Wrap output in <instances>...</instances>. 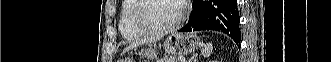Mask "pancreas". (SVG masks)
Instances as JSON below:
<instances>
[{"label":"pancreas","mask_w":331,"mask_h":62,"mask_svg":"<svg viewBox=\"0 0 331 62\" xmlns=\"http://www.w3.org/2000/svg\"><path fill=\"white\" fill-rule=\"evenodd\" d=\"M158 62H177L176 58L174 57H165V58H162L161 60H158Z\"/></svg>","instance_id":"pancreas-1"}]
</instances>
